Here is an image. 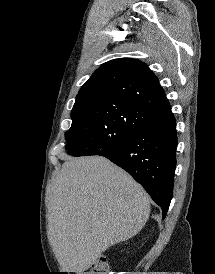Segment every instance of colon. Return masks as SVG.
Instances as JSON below:
<instances>
[{"label": "colon", "instance_id": "5ec220e1", "mask_svg": "<svg viewBox=\"0 0 215 274\" xmlns=\"http://www.w3.org/2000/svg\"><path fill=\"white\" fill-rule=\"evenodd\" d=\"M109 263L105 257L98 258L86 274H108Z\"/></svg>", "mask_w": 215, "mask_h": 274}]
</instances>
